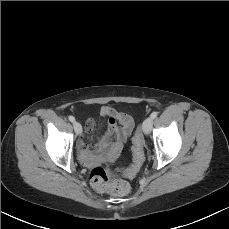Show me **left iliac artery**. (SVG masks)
I'll list each match as a JSON object with an SVG mask.
<instances>
[{
    "label": "left iliac artery",
    "mask_w": 229,
    "mask_h": 229,
    "mask_svg": "<svg viewBox=\"0 0 229 229\" xmlns=\"http://www.w3.org/2000/svg\"><path fill=\"white\" fill-rule=\"evenodd\" d=\"M157 112H153V113H151V115H150V117L152 118V119H154V118H156L157 117Z\"/></svg>",
    "instance_id": "obj_1"
}]
</instances>
